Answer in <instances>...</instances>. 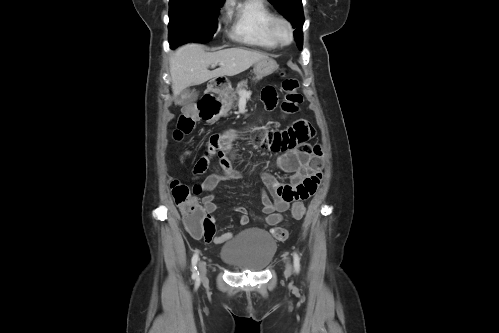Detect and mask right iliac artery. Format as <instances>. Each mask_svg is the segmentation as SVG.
Returning a JSON list of instances; mask_svg holds the SVG:
<instances>
[{
  "mask_svg": "<svg viewBox=\"0 0 499 333\" xmlns=\"http://www.w3.org/2000/svg\"><path fill=\"white\" fill-rule=\"evenodd\" d=\"M199 260V256L197 253H195L192 257V278L199 280V272L197 270V262Z\"/></svg>",
  "mask_w": 499,
  "mask_h": 333,
  "instance_id": "1",
  "label": "right iliac artery"
}]
</instances>
